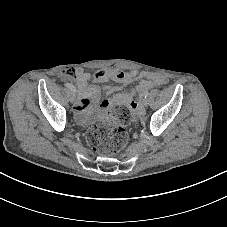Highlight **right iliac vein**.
<instances>
[{
	"label": "right iliac vein",
	"mask_w": 227,
	"mask_h": 227,
	"mask_svg": "<svg viewBox=\"0 0 227 227\" xmlns=\"http://www.w3.org/2000/svg\"><path fill=\"white\" fill-rule=\"evenodd\" d=\"M75 100H76V98H75V93L72 92V93H71V96H70V101H71L72 103H74Z\"/></svg>",
	"instance_id": "obj_1"
}]
</instances>
